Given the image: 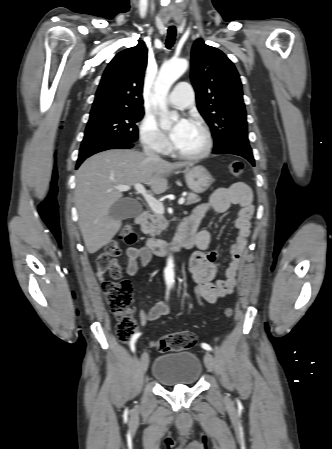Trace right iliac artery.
<instances>
[{
	"instance_id": "82829eb1",
	"label": "right iliac artery",
	"mask_w": 332,
	"mask_h": 449,
	"mask_svg": "<svg viewBox=\"0 0 332 449\" xmlns=\"http://www.w3.org/2000/svg\"><path fill=\"white\" fill-rule=\"evenodd\" d=\"M168 294H169V291H167V298H168ZM141 335V333H136V334H134L132 337H131V340H130V348H131V350L133 351V352H135V343H136V340L138 339V337Z\"/></svg>"
}]
</instances>
